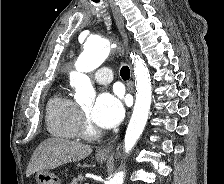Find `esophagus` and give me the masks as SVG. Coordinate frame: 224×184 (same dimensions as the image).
I'll return each mask as SVG.
<instances>
[{
  "instance_id": "1",
  "label": "esophagus",
  "mask_w": 224,
  "mask_h": 184,
  "mask_svg": "<svg viewBox=\"0 0 224 184\" xmlns=\"http://www.w3.org/2000/svg\"><path fill=\"white\" fill-rule=\"evenodd\" d=\"M109 4L112 9V12H113L116 24L118 26V29L120 31V34L124 40V43L126 45H128V35H127L126 29H125L123 17L121 15L118 7L112 2V0H109ZM131 89L133 90V82H131ZM112 149H113V145L105 146L98 151V155L99 156H108V155H110Z\"/></svg>"
}]
</instances>
